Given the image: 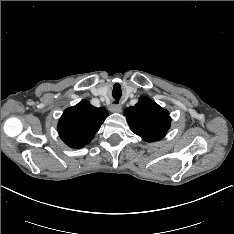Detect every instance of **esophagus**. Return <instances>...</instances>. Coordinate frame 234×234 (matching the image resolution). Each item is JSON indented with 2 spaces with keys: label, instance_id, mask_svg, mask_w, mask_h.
Instances as JSON below:
<instances>
[{
  "label": "esophagus",
  "instance_id": "34e87169",
  "mask_svg": "<svg viewBox=\"0 0 234 234\" xmlns=\"http://www.w3.org/2000/svg\"><path fill=\"white\" fill-rule=\"evenodd\" d=\"M121 110H122L121 105H112V106H110V111L113 112V113H119V112H121Z\"/></svg>",
  "mask_w": 234,
  "mask_h": 234
}]
</instances>
